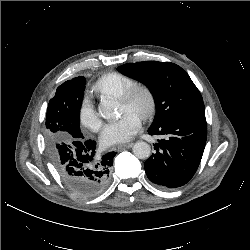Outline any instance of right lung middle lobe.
I'll list each match as a JSON object with an SVG mask.
<instances>
[{
  "label": "right lung middle lobe",
  "mask_w": 250,
  "mask_h": 250,
  "mask_svg": "<svg viewBox=\"0 0 250 250\" xmlns=\"http://www.w3.org/2000/svg\"><path fill=\"white\" fill-rule=\"evenodd\" d=\"M86 80L83 76L68 80L57 88L49 101L46 113L45 141L49 155L56 153V146L82 138L79 114Z\"/></svg>",
  "instance_id": "dd1d6c3e"
}]
</instances>
